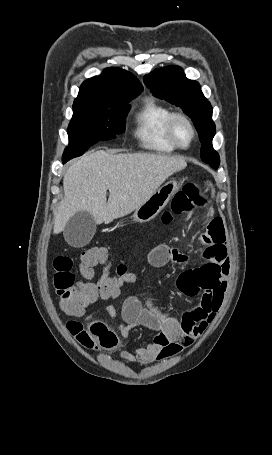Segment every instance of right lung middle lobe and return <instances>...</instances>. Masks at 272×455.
<instances>
[{
  "label": "right lung middle lobe",
  "mask_w": 272,
  "mask_h": 455,
  "mask_svg": "<svg viewBox=\"0 0 272 455\" xmlns=\"http://www.w3.org/2000/svg\"><path fill=\"white\" fill-rule=\"evenodd\" d=\"M128 102L113 108L73 107L68 127L69 146L63 154V163L82 155L100 140L116 138L125 130Z\"/></svg>",
  "instance_id": "right-lung-middle-lobe-1"
}]
</instances>
